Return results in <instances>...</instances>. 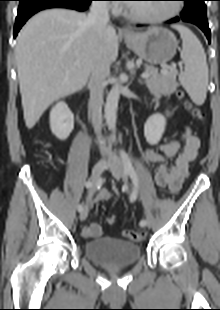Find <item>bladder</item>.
Masks as SVG:
<instances>
[{
    "label": "bladder",
    "instance_id": "obj_1",
    "mask_svg": "<svg viewBox=\"0 0 220 310\" xmlns=\"http://www.w3.org/2000/svg\"><path fill=\"white\" fill-rule=\"evenodd\" d=\"M83 250L88 259L106 267L133 265L141 256L139 244L113 237L87 241Z\"/></svg>",
    "mask_w": 220,
    "mask_h": 310
}]
</instances>
